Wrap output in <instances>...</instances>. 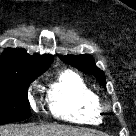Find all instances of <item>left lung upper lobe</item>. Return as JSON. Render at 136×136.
<instances>
[{"mask_svg": "<svg viewBox=\"0 0 136 136\" xmlns=\"http://www.w3.org/2000/svg\"><path fill=\"white\" fill-rule=\"evenodd\" d=\"M61 59L64 62L75 66L84 73L95 75L97 80L102 85H106L104 73L98 67H96L92 56L87 54L79 56L68 55L62 56Z\"/></svg>", "mask_w": 136, "mask_h": 136, "instance_id": "5c2ea615", "label": "left lung upper lobe"}]
</instances>
